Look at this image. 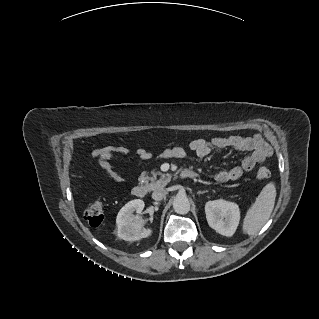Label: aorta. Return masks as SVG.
I'll return each mask as SVG.
<instances>
[{
  "mask_svg": "<svg viewBox=\"0 0 319 319\" xmlns=\"http://www.w3.org/2000/svg\"><path fill=\"white\" fill-rule=\"evenodd\" d=\"M173 209L178 214H187L190 211V202L184 193H178L173 200Z\"/></svg>",
  "mask_w": 319,
  "mask_h": 319,
  "instance_id": "obj_1",
  "label": "aorta"
}]
</instances>
